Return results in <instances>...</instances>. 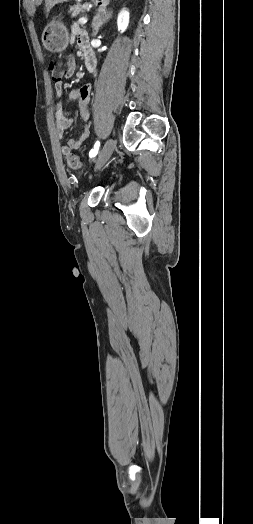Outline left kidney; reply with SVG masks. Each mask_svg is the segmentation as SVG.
I'll use <instances>...</instances> for the list:
<instances>
[{"label": "left kidney", "instance_id": "obj_1", "mask_svg": "<svg viewBox=\"0 0 253 524\" xmlns=\"http://www.w3.org/2000/svg\"><path fill=\"white\" fill-rule=\"evenodd\" d=\"M129 24V12L127 9H122L118 15L117 25L118 30L124 32Z\"/></svg>", "mask_w": 253, "mask_h": 524}]
</instances>
